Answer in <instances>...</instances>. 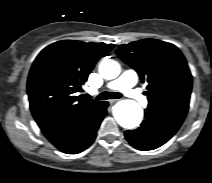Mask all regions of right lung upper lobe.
I'll return each mask as SVG.
<instances>
[{"instance_id":"cb5924a9","label":"right lung upper lobe","mask_w":212,"mask_h":183,"mask_svg":"<svg viewBox=\"0 0 212 183\" xmlns=\"http://www.w3.org/2000/svg\"><path fill=\"white\" fill-rule=\"evenodd\" d=\"M114 45L55 42L36 57L27 82L31 112L41 129L95 110L103 101L79 95L98 59Z\"/></svg>"}]
</instances>
